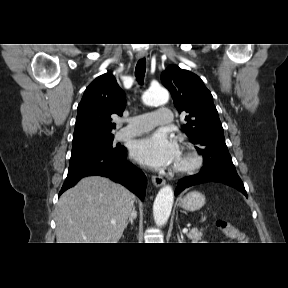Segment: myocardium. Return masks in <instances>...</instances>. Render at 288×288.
Returning <instances> with one entry per match:
<instances>
[{
	"mask_svg": "<svg viewBox=\"0 0 288 288\" xmlns=\"http://www.w3.org/2000/svg\"><path fill=\"white\" fill-rule=\"evenodd\" d=\"M201 164L200 156L191 149V147L184 143V148L178 162L175 165V170L179 172H188L195 170Z\"/></svg>",
	"mask_w": 288,
	"mask_h": 288,
	"instance_id": "1",
	"label": "myocardium"
}]
</instances>
